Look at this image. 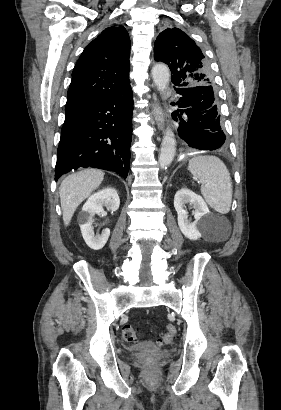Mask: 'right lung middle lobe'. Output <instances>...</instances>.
Instances as JSON below:
<instances>
[{
    "label": "right lung middle lobe",
    "mask_w": 281,
    "mask_h": 410,
    "mask_svg": "<svg viewBox=\"0 0 281 410\" xmlns=\"http://www.w3.org/2000/svg\"><path fill=\"white\" fill-rule=\"evenodd\" d=\"M72 111H65V114L67 115V114H69V113H71Z\"/></svg>",
    "instance_id": "right-lung-middle-lobe-1"
}]
</instances>
